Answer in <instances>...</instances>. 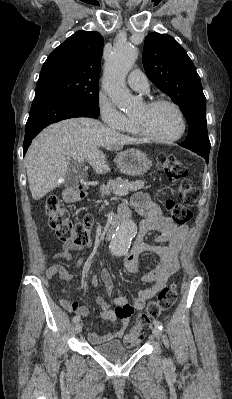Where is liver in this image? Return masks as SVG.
Instances as JSON below:
<instances>
[{
  "label": "liver",
  "mask_w": 232,
  "mask_h": 399,
  "mask_svg": "<svg viewBox=\"0 0 232 399\" xmlns=\"http://www.w3.org/2000/svg\"><path fill=\"white\" fill-rule=\"evenodd\" d=\"M125 144H138L91 118H72L52 124L33 140L25 166L33 200H40L58 188L69 160H87L96 174H107L110 168L99 148L122 150Z\"/></svg>",
  "instance_id": "1"
}]
</instances>
